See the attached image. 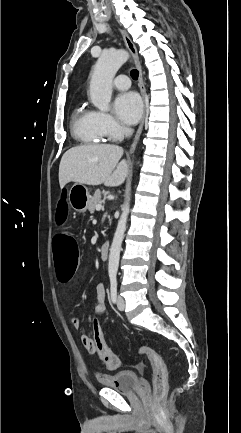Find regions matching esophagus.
I'll list each match as a JSON object with an SVG mask.
<instances>
[{
  "label": "esophagus",
  "mask_w": 241,
  "mask_h": 433,
  "mask_svg": "<svg viewBox=\"0 0 241 433\" xmlns=\"http://www.w3.org/2000/svg\"><path fill=\"white\" fill-rule=\"evenodd\" d=\"M120 32H121V35L123 37L124 43H125L127 49L129 50V52L131 53L133 60H134V63H135V66L139 72V88H140V92L142 95L143 106H144L142 119L140 121L139 127L137 129V132H136L134 140H133V143H132L130 150H129V153L131 154L134 152L136 145H137V142L139 140V137L141 135V132L143 130V125H144V121H145V117H146V90H145V85H144V81H143L142 68H141V64L139 61L137 49H136L134 43L132 42L131 38L129 37V35L124 30H120Z\"/></svg>",
  "instance_id": "esophagus-1"
}]
</instances>
